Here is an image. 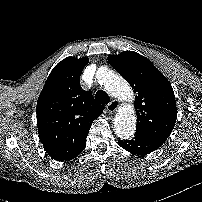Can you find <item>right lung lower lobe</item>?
<instances>
[{"label":"right lung lower lobe","mask_w":202,"mask_h":202,"mask_svg":"<svg viewBox=\"0 0 202 202\" xmlns=\"http://www.w3.org/2000/svg\"><path fill=\"white\" fill-rule=\"evenodd\" d=\"M87 135H88V134H87ZM86 137H87V136H86ZM86 137H85V142H84L82 148L76 153V155H75L74 157H72V159H74L76 156H78V155L84 150V148H85V146H86ZM72 159H71V160H72Z\"/></svg>","instance_id":"obj_1"}]
</instances>
